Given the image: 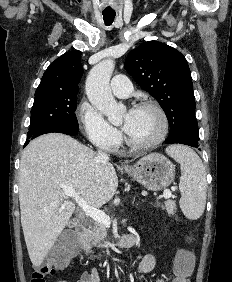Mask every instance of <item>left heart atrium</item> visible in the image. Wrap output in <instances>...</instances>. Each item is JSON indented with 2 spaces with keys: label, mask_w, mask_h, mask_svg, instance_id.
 <instances>
[{
  "label": "left heart atrium",
  "mask_w": 232,
  "mask_h": 282,
  "mask_svg": "<svg viewBox=\"0 0 232 282\" xmlns=\"http://www.w3.org/2000/svg\"><path fill=\"white\" fill-rule=\"evenodd\" d=\"M134 114H135V109H131V110L128 112V119H127L126 123L123 125V129H124L125 131L128 130L129 125H130V121H131V119L133 118Z\"/></svg>",
  "instance_id": "obj_1"
}]
</instances>
